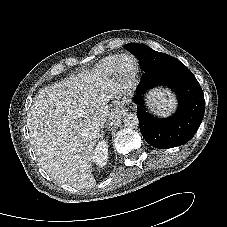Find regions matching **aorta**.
<instances>
[{"label":"aorta","mask_w":227,"mask_h":227,"mask_svg":"<svg viewBox=\"0 0 227 227\" xmlns=\"http://www.w3.org/2000/svg\"><path fill=\"white\" fill-rule=\"evenodd\" d=\"M111 121L114 124L123 123L128 128H134L138 126V117L134 113H128L122 115L119 111H114L111 113Z\"/></svg>","instance_id":"obj_1"}]
</instances>
